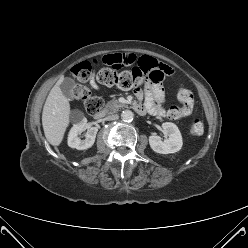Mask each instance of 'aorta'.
Returning a JSON list of instances; mask_svg holds the SVG:
<instances>
[{"mask_svg":"<svg viewBox=\"0 0 248 248\" xmlns=\"http://www.w3.org/2000/svg\"><path fill=\"white\" fill-rule=\"evenodd\" d=\"M121 118L125 122H131L133 120V118H134V114L130 110H124L121 113Z\"/></svg>","mask_w":248,"mask_h":248,"instance_id":"obj_1","label":"aorta"}]
</instances>
